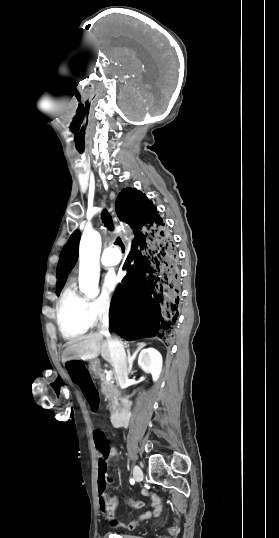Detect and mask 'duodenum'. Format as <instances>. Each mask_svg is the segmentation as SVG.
<instances>
[{"label":"duodenum","instance_id":"1","mask_svg":"<svg viewBox=\"0 0 279 538\" xmlns=\"http://www.w3.org/2000/svg\"><path fill=\"white\" fill-rule=\"evenodd\" d=\"M92 372L94 374H98L100 372L97 364L92 366ZM120 406H122V408H116L114 413L111 414L112 418L109 419V422L112 423V427L114 429H126L128 428V423L130 422L128 417H131L132 414V409H130L131 401H120Z\"/></svg>","mask_w":279,"mask_h":538}]
</instances>
